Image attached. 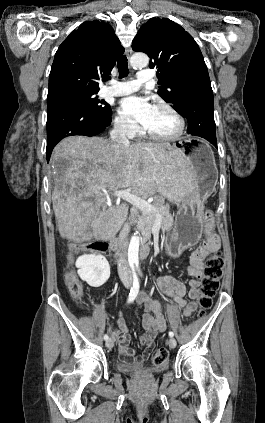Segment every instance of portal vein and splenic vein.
<instances>
[{
    "mask_svg": "<svg viewBox=\"0 0 265 423\" xmlns=\"http://www.w3.org/2000/svg\"><path fill=\"white\" fill-rule=\"evenodd\" d=\"M113 196L117 197L118 199L122 198L126 200L127 202L131 203L133 206L143 212L148 213L151 211H157V208L153 204L147 202L146 200L138 196L132 195L128 189L114 192Z\"/></svg>",
    "mask_w": 265,
    "mask_h": 423,
    "instance_id": "1",
    "label": "portal vein and splenic vein"
}]
</instances>
